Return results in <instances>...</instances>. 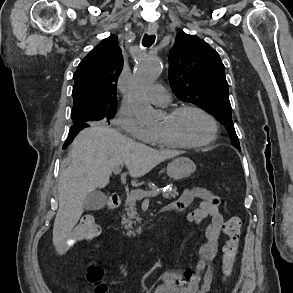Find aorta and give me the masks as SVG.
Returning <instances> with one entry per match:
<instances>
[{
    "mask_svg": "<svg viewBox=\"0 0 293 293\" xmlns=\"http://www.w3.org/2000/svg\"><path fill=\"white\" fill-rule=\"evenodd\" d=\"M161 67V60L157 56H144L139 60L129 84L132 109L140 122L147 126L155 124L157 117L144 97L148 88L159 77Z\"/></svg>",
    "mask_w": 293,
    "mask_h": 293,
    "instance_id": "aorta-1",
    "label": "aorta"
}]
</instances>
